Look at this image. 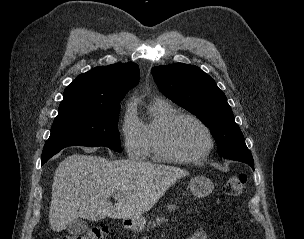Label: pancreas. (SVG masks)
Here are the masks:
<instances>
[{"instance_id":"cf45deb5","label":"pancreas","mask_w":304,"mask_h":239,"mask_svg":"<svg viewBox=\"0 0 304 239\" xmlns=\"http://www.w3.org/2000/svg\"><path fill=\"white\" fill-rule=\"evenodd\" d=\"M157 224L162 223L163 221H165L163 218H156ZM149 224H152L153 226H155L154 222H149Z\"/></svg>"}]
</instances>
